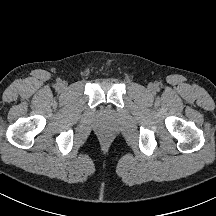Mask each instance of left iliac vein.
<instances>
[{
  "mask_svg": "<svg viewBox=\"0 0 216 216\" xmlns=\"http://www.w3.org/2000/svg\"><path fill=\"white\" fill-rule=\"evenodd\" d=\"M148 89H149L150 91H152V90H153V86L150 85V86L148 87Z\"/></svg>",
  "mask_w": 216,
  "mask_h": 216,
  "instance_id": "1",
  "label": "left iliac vein"
}]
</instances>
